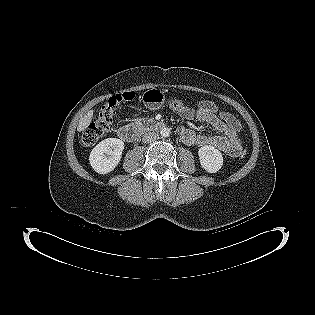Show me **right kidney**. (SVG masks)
<instances>
[{
    "label": "right kidney",
    "instance_id": "ca27d5eb",
    "mask_svg": "<svg viewBox=\"0 0 315 315\" xmlns=\"http://www.w3.org/2000/svg\"><path fill=\"white\" fill-rule=\"evenodd\" d=\"M124 142L117 138H107L93 148L89 156L91 167L99 174H107L119 164Z\"/></svg>",
    "mask_w": 315,
    "mask_h": 315
}]
</instances>
